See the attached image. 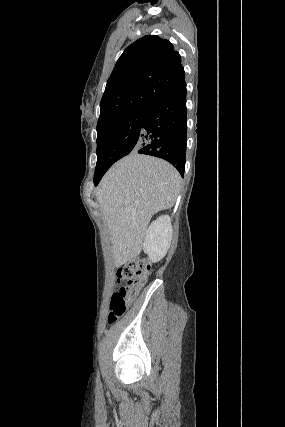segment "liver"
I'll return each mask as SVG.
<instances>
[{
	"mask_svg": "<svg viewBox=\"0 0 285 427\" xmlns=\"http://www.w3.org/2000/svg\"><path fill=\"white\" fill-rule=\"evenodd\" d=\"M181 176L168 162L132 152L116 162L96 189L111 236L115 266L137 257L152 216L171 208Z\"/></svg>",
	"mask_w": 285,
	"mask_h": 427,
	"instance_id": "1",
	"label": "liver"
}]
</instances>
